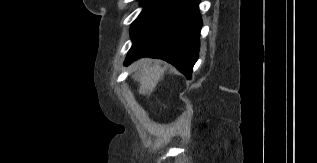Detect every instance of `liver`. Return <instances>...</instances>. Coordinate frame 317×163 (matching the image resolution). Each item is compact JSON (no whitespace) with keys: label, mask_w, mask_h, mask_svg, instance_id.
<instances>
[{"label":"liver","mask_w":317,"mask_h":163,"mask_svg":"<svg viewBox=\"0 0 317 163\" xmlns=\"http://www.w3.org/2000/svg\"><path fill=\"white\" fill-rule=\"evenodd\" d=\"M134 67L137 69L134 79L140 83L139 92L143 95H149L162 79L164 68L159 65H150L147 62L136 64Z\"/></svg>","instance_id":"6515ba94"}]
</instances>
